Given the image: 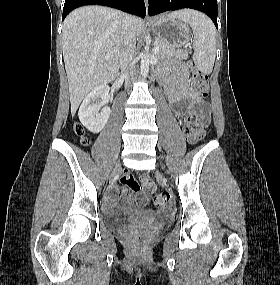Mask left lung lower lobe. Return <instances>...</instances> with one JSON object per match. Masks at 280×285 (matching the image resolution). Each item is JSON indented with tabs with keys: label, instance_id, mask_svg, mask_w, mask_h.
I'll use <instances>...</instances> for the list:
<instances>
[{
	"label": "left lung lower lobe",
	"instance_id": "1",
	"mask_svg": "<svg viewBox=\"0 0 280 285\" xmlns=\"http://www.w3.org/2000/svg\"><path fill=\"white\" fill-rule=\"evenodd\" d=\"M183 8H191L204 12L218 28L217 0H149L148 12L150 16H153L165 11H174Z\"/></svg>",
	"mask_w": 280,
	"mask_h": 285
}]
</instances>
